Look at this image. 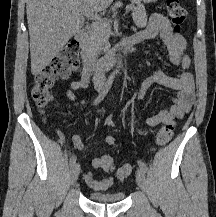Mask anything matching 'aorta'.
Listing matches in <instances>:
<instances>
[{
  "label": "aorta",
  "mask_w": 216,
  "mask_h": 217,
  "mask_svg": "<svg viewBox=\"0 0 216 217\" xmlns=\"http://www.w3.org/2000/svg\"><path fill=\"white\" fill-rule=\"evenodd\" d=\"M122 68V59H118L117 61V66H116V69L114 70V74H117V73H120V70Z\"/></svg>",
  "instance_id": "762f6f07"
}]
</instances>
